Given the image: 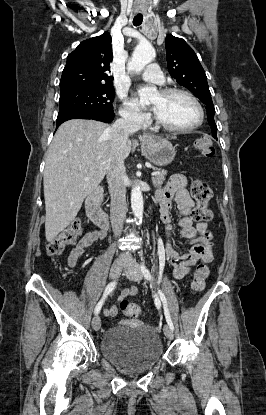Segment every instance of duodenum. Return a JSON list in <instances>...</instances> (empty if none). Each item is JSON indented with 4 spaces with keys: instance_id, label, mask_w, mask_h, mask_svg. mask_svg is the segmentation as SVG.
Here are the masks:
<instances>
[{
    "instance_id": "1",
    "label": "duodenum",
    "mask_w": 266,
    "mask_h": 415,
    "mask_svg": "<svg viewBox=\"0 0 266 415\" xmlns=\"http://www.w3.org/2000/svg\"><path fill=\"white\" fill-rule=\"evenodd\" d=\"M103 189L96 187L86 200V211L91 221L101 230L109 227V216L101 207Z\"/></svg>"
}]
</instances>
